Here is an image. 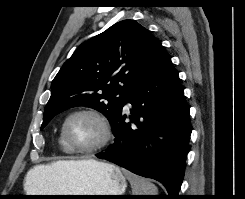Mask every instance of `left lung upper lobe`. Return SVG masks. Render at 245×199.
I'll use <instances>...</instances> for the list:
<instances>
[{
    "mask_svg": "<svg viewBox=\"0 0 245 199\" xmlns=\"http://www.w3.org/2000/svg\"><path fill=\"white\" fill-rule=\"evenodd\" d=\"M163 50L157 38L129 19L84 42L52 81L41 130L55 115L75 106L94 108L111 123Z\"/></svg>",
    "mask_w": 245,
    "mask_h": 199,
    "instance_id": "left-lung-upper-lobe-1",
    "label": "left lung upper lobe"
}]
</instances>
